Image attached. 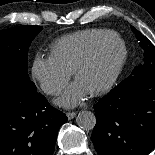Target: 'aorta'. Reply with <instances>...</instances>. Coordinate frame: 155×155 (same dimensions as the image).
Instances as JSON below:
<instances>
[{
    "instance_id": "762f6f07",
    "label": "aorta",
    "mask_w": 155,
    "mask_h": 155,
    "mask_svg": "<svg viewBox=\"0 0 155 155\" xmlns=\"http://www.w3.org/2000/svg\"><path fill=\"white\" fill-rule=\"evenodd\" d=\"M77 125L83 130H92L96 125L95 114L91 111H81L76 117Z\"/></svg>"
}]
</instances>
